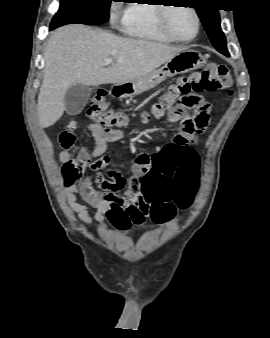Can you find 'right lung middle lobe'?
<instances>
[{
	"mask_svg": "<svg viewBox=\"0 0 270 338\" xmlns=\"http://www.w3.org/2000/svg\"><path fill=\"white\" fill-rule=\"evenodd\" d=\"M112 0H61L58 12L52 19L50 29L65 24L96 25L109 18Z\"/></svg>",
	"mask_w": 270,
	"mask_h": 338,
	"instance_id": "1",
	"label": "right lung middle lobe"
}]
</instances>
